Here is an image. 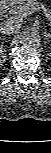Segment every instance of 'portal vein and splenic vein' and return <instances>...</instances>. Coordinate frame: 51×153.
I'll use <instances>...</instances> for the list:
<instances>
[{"label":"portal vein and splenic vein","mask_w":51,"mask_h":153,"mask_svg":"<svg viewBox=\"0 0 51 153\" xmlns=\"http://www.w3.org/2000/svg\"><path fill=\"white\" fill-rule=\"evenodd\" d=\"M38 10H40V7H35V8H33L32 10H30V9H25L24 10V16H27V15H29L32 11H38Z\"/></svg>","instance_id":"18ae733b"}]
</instances>
